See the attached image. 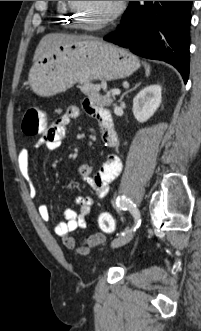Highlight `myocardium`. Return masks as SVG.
Here are the masks:
<instances>
[{
	"instance_id": "obj_1",
	"label": "myocardium",
	"mask_w": 201,
	"mask_h": 331,
	"mask_svg": "<svg viewBox=\"0 0 201 331\" xmlns=\"http://www.w3.org/2000/svg\"><path fill=\"white\" fill-rule=\"evenodd\" d=\"M69 6L72 11L75 13L76 18L80 20V23L90 26V27H104L112 23L115 19H117L124 9V1H117L114 10L108 14L103 19L99 20L96 23H90L86 21L81 13L80 7L78 6L76 1H69Z\"/></svg>"
}]
</instances>
